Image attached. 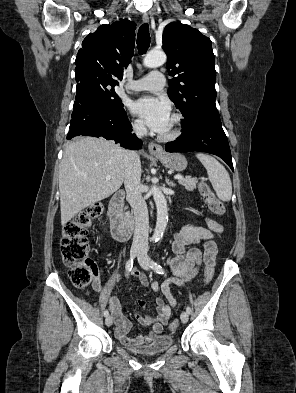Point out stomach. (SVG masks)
<instances>
[{"label": "stomach", "instance_id": "stomach-1", "mask_svg": "<svg viewBox=\"0 0 296 393\" xmlns=\"http://www.w3.org/2000/svg\"><path fill=\"white\" fill-rule=\"evenodd\" d=\"M160 162L168 169L174 171H183L187 167V160L185 156L180 153H163L155 155Z\"/></svg>", "mask_w": 296, "mask_h": 393}]
</instances>
